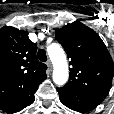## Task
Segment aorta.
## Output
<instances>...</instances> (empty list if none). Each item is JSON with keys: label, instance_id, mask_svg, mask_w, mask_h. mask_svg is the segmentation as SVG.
Listing matches in <instances>:
<instances>
[{"label": "aorta", "instance_id": "762f6f07", "mask_svg": "<svg viewBox=\"0 0 114 114\" xmlns=\"http://www.w3.org/2000/svg\"><path fill=\"white\" fill-rule=\"evenodd\" d=\"M48 54L54 66L53 81L62 86L67 82L69 76L66 55L63 49L55 44L48 47Z\"/></svg>", "mask_w": 114, "mask_h": 114}]
</instances>
